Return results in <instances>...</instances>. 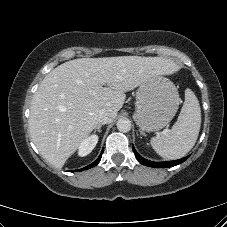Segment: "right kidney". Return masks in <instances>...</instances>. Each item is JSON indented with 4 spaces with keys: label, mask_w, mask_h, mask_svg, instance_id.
I'll return each mask as SVG.
<instances>
[{
    "label": "right kidney",
    "mask_w": 227,
    "mask_h": 227,
    "mask_svg": "<svg viewBox=\"0 0 227 227\" xmlns=\"http://www.w3.org/2000/svg\"><path fill=\"white\" fill-rule=\"evenodd\" d=\"M97 142H98L97 135H91L84 139L79 145L78 155L83 157L91 153V151L95 148Z\"/></svg>",
    "instance_id": "1"
}]
</instances>
